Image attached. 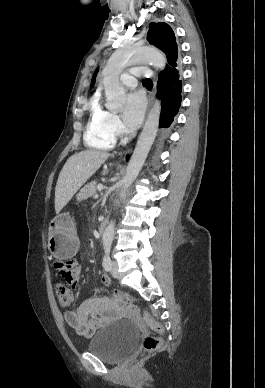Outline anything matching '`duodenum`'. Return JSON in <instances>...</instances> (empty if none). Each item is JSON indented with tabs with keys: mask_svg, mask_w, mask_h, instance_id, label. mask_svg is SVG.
Segmentation results:
<instances>
[{
	"mask_svg": "<svg viewBox=\"0 0 265 388\" xmlns=\"http://www.w3.org/2000/svg\"><path fill=\"white\" fill-rule=\"evenodd\" d=\"M108 221L107 220H102L101 223L99 224L98 231L100 235H103L106 231Z\"/></svg>",
	"mask_w": 265,
	"mask_h": 388,
	"instance_id": "1",
	"label": "duodenum"
}]
</instances>
